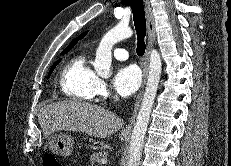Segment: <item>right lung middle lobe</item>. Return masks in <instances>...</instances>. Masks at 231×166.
<instances>
[{
	"label": "right lung middle lobe",
	"mask_w": 231,
	"mask_h": 166,
	"mask_svg": "<svg viewBox=\"0 0 231 166\" xmlns=\"http://www.w3.org/2000/svg\"><path fill=\"white\" fill-rule=\"evenodd\" d=\"M67 52H63L61 54H66ZM61 61V59H59L53 66L52 68L50 69L49 71V74H48V77L50 76V74L52 73V71L54 70V68L57 66V64H59V62Z\"/></svg>",
	"instance_id": "obj_1"
}]
</instances>
